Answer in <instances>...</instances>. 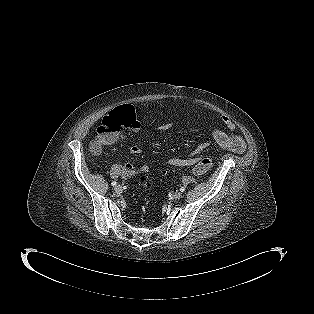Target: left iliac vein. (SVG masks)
<instances>
[{
	"instance_id": "4c4485c4",
	"label": "left iliac vein",
	"mask_w": 314,
	"mask_h": 314,
	"mask_svg": "<svg viewBox=\"0 0 314 314\" xmlns=\"http://www.w3.org/2000/svg\"><path fill=\"white\" fill-rule=\"evenodd\" d=\"M181 197H182V193L179 192V191H177V192H175V193L172 194V199H174V200H178V199H180Z\"/></svg>"
}]
</instances>
